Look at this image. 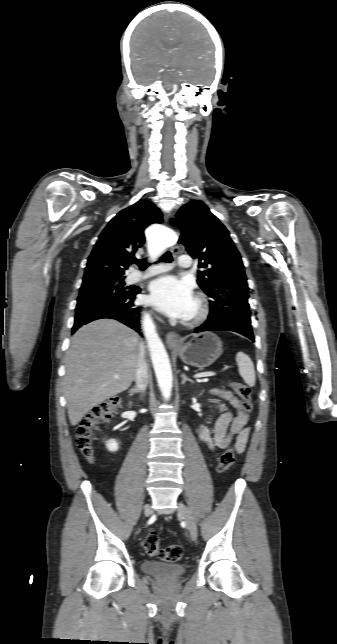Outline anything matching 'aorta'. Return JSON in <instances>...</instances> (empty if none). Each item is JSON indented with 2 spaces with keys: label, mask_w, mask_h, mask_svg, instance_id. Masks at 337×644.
<instances>
[{
  "label": "aorta",
  "mask_w": 337,
  "mask_h": 644,
  "mask_svg": "<svg viewBox=\"0 0 337 644\" xmlns=\"http://www.w3.org/2000/svg\"><path fill=\"white\" fill-rule=\"evenodd\" d=\"M156 241L159 245L150 251L152 259H155L158 256L163 246L174 241V236L169 231H163L156 235ZM143 326L158 385L163 397L168 400L171 396L173 384V376L168 354L161 339L155 331V327L150 316L147 314L144 315Z\"/></svg>",
  "instance_id": "1"
}]
</instances>
